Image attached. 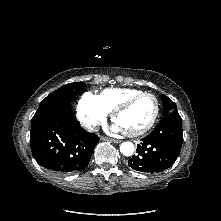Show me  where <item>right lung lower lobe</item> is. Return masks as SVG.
<instances>
[{"label":"right lung lower lobe","instance_id":"1","mask_svg":"<svg viewBox=\"0 0 221 221\" xmlns=\"http://www.w3.org/2000/svg\"><path fill=\"white\" fill-rule=\"evenodd\" d=\"M99 137L71 117L70 103L46 110L32 119L30 145L37 163L58 173L86 168Z\"/></svg>","mask_w":221,"mask_h":221}]
</instances>
